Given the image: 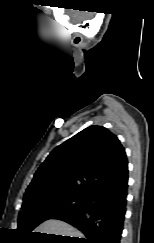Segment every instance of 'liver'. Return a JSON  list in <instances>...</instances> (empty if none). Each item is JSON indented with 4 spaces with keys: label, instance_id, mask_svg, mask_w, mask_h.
<instances>
[{
    "label": "liver",
    "instance_id": "liver-1",
    "mask_svg": "<svg viewBox=\"0 0 154 243\" xmlns=\"http://www.w3.org/2000/svg\"><path fill=\"white\" fill-rule=\"evenodd\" d=\"M34 232L83 238V234L79 230L66 222L55 219L43 222Z\"/></svg>",
    "mask_w": 154,
    "mask_h": 243
}]
</instances>
